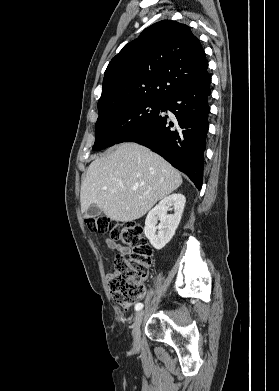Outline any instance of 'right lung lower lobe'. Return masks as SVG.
<instances>
[{"label": "right lung lower lobe", "mask_w": 279, "mask_h": 391, "mask_svg": "<svg viewBox=\"0 0 279 391\" xmlns=\"http://www.w3.org/2000/svg\"><path fill=\"white\" fill-rule=\"evenodd\" d=\"M210 82L211 77L206 71L166 99L156 118L134 128L118 143L134 141L150 148L184 172L200 190L210 110Z\"/></svg>", "instance_id": "1"}]
</instances>
